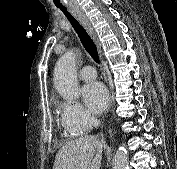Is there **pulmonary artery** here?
I'll return each mask as SVG.
<instances>
[{
	"label": "pulmonary artery",
	"mask_w": 177,
	"mask_h": 169,
	"mask_svg": "<svg viewBox=\"0 0 177 169\" xmlns=\"http://www.w3.org/2000/svg\"><path fill=\"white\" fill-rule=\"evenodd\" d=\"M79 77L83 81H92L97 77V74L94 67L88 65L80 70Z\"/></svg>",
	"instance_id": "e3ab8cb5"
}]
</instances>
